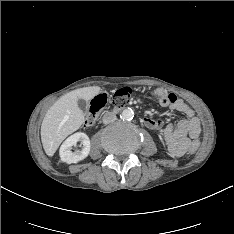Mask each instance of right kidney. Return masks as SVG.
Segmentation results:
<instances>
[{
  "label": "right kidney",
  "instance_id": "right-kidney-1",
  "mask_svg": "<svg viewBox=\"0 0 234 234\" xmlns=\"http://www.w3.org/2000/svg\"><path fill=\"white\" fill-rule=\"evenodd\" d=\"M81 142L82 149L71 151L72 146H76L77 142ZM90 139L82 132H77L68 137L60 147V158L61 161L67 164L77 163L85 159L90 153Z\"/></svg>",
  "mask_w": 234,
  "mask_h": 234
}]
</instances>
